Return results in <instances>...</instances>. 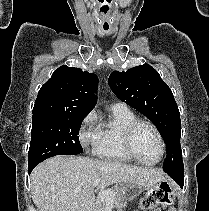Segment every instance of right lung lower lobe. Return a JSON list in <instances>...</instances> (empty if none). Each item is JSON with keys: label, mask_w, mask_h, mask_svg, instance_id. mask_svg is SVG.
<instances>
[{"label": "right lung lower lobe", "mask_w": 209, "mask_h": 211, "mask_svg": "<svg viewBox=\"0 0 209 211\" xmlns=\"http://www.w3.org/2000/svg\"><path fill=\"white\" fill-rule=\"evenodd\" d=\"M34 167H35L34 165L28 166L29 173L33 170Z\"/></svg>", "instance_id": "98d812e1"}]
</instances>
